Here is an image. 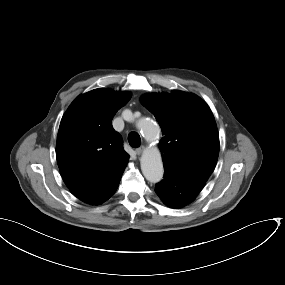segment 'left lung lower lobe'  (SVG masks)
<instances>
[{
	"mask_svg": "<svg viewBox=\"0 0 285 285\" xmlns=\"http://www.w3.org/2000/svg\"><path fill=\"white\" fill-rule=\"evenodd\" d=\"M164 179L156 184L155 192L169 207L180 208L192 202L205 186L204 181L164 168Z\"/></svg>",
	"mask_w": 285,
	"mask_h": 285,
	"instance_id": "left-lung-lower-lobe-1",
	"label": "left lung lower lobe"
}]
</instances>
